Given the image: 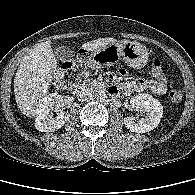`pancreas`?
<instances>
[{
    "label": "pancreas",
    "instance_id": "cf45deb5",
    "mask_svg": "<svg viewBox=\"0 0 195 195\" xmlns=\"http://www.w3.org/2000/svg\"><path fill=\"white\" fill-rule=\"evenodd\" d=\"M92 85H98V83L96 81H93Z\"/></svg>",
    "mask_w": 195,
    "mask_h": 195
}]
</instances>
